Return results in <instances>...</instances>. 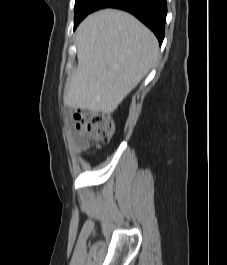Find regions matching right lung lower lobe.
<instances>
[{"label": "right lung lower lobe", "mask_w": 227, "mask_h": 265, "mask_svg": "<svg viewBox=\"0 0 227 265\" xmlns=\"http://www.w3.org/2000/svg\"><path fill=\"white\" fill-rule=\"evenodd\" d=\"M103 8H117L133 14L154 32L161 45L165 33L166 0H99L93 11Z\"/></svg>", "instance_id": "right-lung-lower-lobe-1"}]
</instances>
